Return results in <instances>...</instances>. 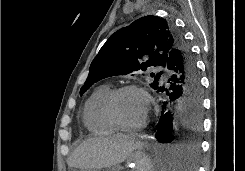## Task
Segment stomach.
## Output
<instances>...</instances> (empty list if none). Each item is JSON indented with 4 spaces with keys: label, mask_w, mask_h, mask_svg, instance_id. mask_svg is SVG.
Masks as SVG:
<instances>
[{
    "label": "stomach",
    "mask_w": 245,
    "mask_h": 171,
    "mask_svg": "<svg viewBox=\"0 0 245 171\" xmlns=\"http://www.w3.org/2000/svg\"><path fill=\"white\" fill-rule=\"evenodd\" d=\"M128 165L132 167L131 171H155L156 162L149 157L144 148L137 149L129 155ZM70 171H96L90 169H70ZM114 171H119L116 169Z\"/></svg>",
    "instance_id": "obj_1"
}]
</instances>
